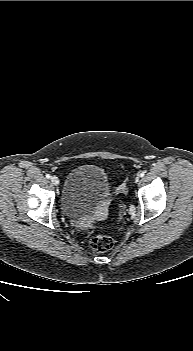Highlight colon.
Returning a JSON list of instances; mask_svg holds the SVG:
<instances>
[{
  "instance_id": "obj_1",
  "label": "colon",
  "mask_w": 193,
  "mask_h": 351,
  "mask_svg": "<svg viewBox=\"0 0 193 351\" xmlns=\"http://www.w3.org/2000/svg\"><path fill=\"white\" fill-rule=\"evenodd\" d=\"M119 191H125V185L122 183L119 186ZM90 247L97 252H105L113 247V240L111 237L103 234H96L93 230L87 231Z\"/></svg>"
}]
</instances>
